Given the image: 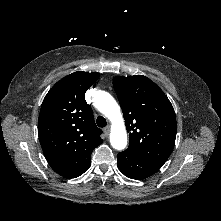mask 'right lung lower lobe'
I'll return each mask as SVG.
<instances>
[{
	"label": "right lung lower lobe",
	"mask_w": 221,
	"mask_h": 221,
	"mask_svg": "<svg viewBox=\"0 0 221 221\" xmlns=\"http://www.w3.org/2000/svg\"><path fill=\"white\" fill-rule=\"evenodd\" d=\"M91 163L89 165H87L84 169H82L80 172H78L76 175H74L73 177L71 178H75V177H78L80 176L81 174H83L89 167H90Z\"/></svg>",
	"instance_id": "98d812e1"
}]
</instances>
